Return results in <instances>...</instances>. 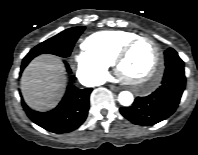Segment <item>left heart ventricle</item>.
Here are the masks:
<instances>
[{"label": "left heart ventricle", "mask_w": 198, "mask_h": 155, "mask_svg": "<svg viewBox=\"0 0 198 155\" xmlns=\"http://www.w3.org/2000/svg\"><path fill=\"white\" fill-rule=\"evenodd\" d=\"M156 59L154 46L149 41L138 42L120 65L124 77L142 82L150 74Z\"/></svg>", "instance_id": "b2bd125f"}]
</instances>
